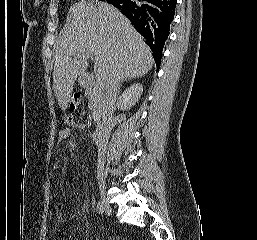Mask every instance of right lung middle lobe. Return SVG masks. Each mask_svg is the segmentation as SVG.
Returning a JSON list of instances; mask_svg holds the SVG:
<instances>
[{"mask_svg": "<svg viewBox=\"0 0 257 240\" xmlns=\"http://www.w3.org/2000/svg\"><path fill=\"white\" fill-rule=\"evenodd\" d=\"M102 1H107V2H111L112 0H102Z\"/></svg>", "mask_w": 257, "mask_h": 240, "instance_id": "right-lung-middle-lobe-1", "label": "right lung middle lobe"}]
</instances>
